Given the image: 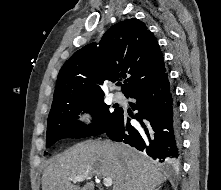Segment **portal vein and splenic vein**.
Masks as SVG:
<instances>
[{
    "instance_id": "18ae733b",
    "label": "portal vein and splenic vein",
    "mask_w": 221,
    "mask_h": 190,
    "mask_svg": "<svg viewBox=\"0 0 221 190\" xmlns=\"http://www.w3.org/2000/svg\"><path fill=\"white\" fill-rule=\"evenodd\" d=\"M85 179H87V176H76V177L69 178V180L73 181L74 183L84 181ZM103 184L106 187H110L112 186L113 181L111 178H104Z\"/></svg>"
}]
</instances>
